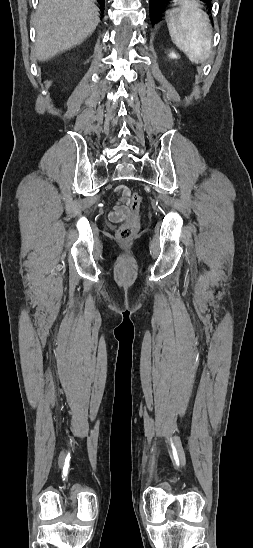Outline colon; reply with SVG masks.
Wrapping results in <instances>:
<instances>
[{
	"label": "colon",
	"instance_id": "1",
	"mask_svg": "<svg viewBox=\"0 0 253 548\" xmlns=\"http://www.w3.org/2000/svg\"><path fill=\"white\" fill-rule=\"evenodd\" d=\"M141 203H142L141 195L138 193H133L130 198L131 208L134 211H138ZM136 224H137L136 219H133L131 221H128L122 224L117 231L118 239L124 243L130 242L134 236Z\"/></svg>",
	"mask_w": 253,
	"mask_h": 548
}]
</instances>
